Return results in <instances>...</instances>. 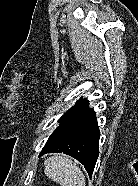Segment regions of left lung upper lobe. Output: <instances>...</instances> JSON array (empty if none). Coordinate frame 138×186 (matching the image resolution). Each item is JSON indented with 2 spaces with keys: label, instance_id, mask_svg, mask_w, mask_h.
<instances>
[{
  "label": "left lung upper lobe",
  "instance_id": "5c2ea615",
  "mask_svg": "<svg viewBox=\"0 0 138 186\" xmlns=\"http://www.w3.org/2000/svg\"><path fill=\"white\" fill-rule=\"evenodd\" d=\"M81 99H82V98H81ZM78 103H79V102H78ZM78 103H77V104H78ZM77 104H76V105H77ZM76 105H75V106H76ZM75 106H73V107H75ZM73 107H72V108H73ZM72 108H71V109H72ZM71 109H69V110H71ZM69 110H68V111H69ZM68 111H67V112H68Z\"/></svg>",
  "mask_w": 138,
  "mask_h": 186
}]
</instances>
